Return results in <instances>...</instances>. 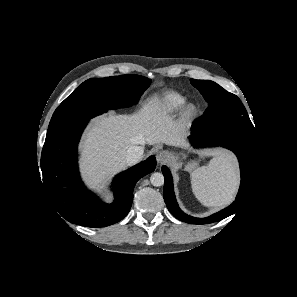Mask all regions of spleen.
Wrapping results in <instances>:
<instances>
[{
    "label": "spleen",
    "mask_w": 297,
    "mask_h": 297,
    "mask_svg": "<svg viewBox=\"0 0 297 297\" xmlns=\"http://www.w3.org/2000/svg\"><path fill=\"white\" fill-rule=\"evenodd\" d=\"M238 175L236 165L229 154H220L207 166L197 168L191 174V184L196 198L205 206L228 204L236 191Z\"/></svg>",
    "instance_id": "3e777b00"
}]
</instances>
